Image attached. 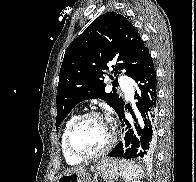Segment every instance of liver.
<instances>
[{"mask_svg":"<svg viewBox=\"0 0 196 182\" xmlns=\"http://www.w3.org/2000/svg\"><path fill=\"white\" fill-rule=\"evenodd\" d=\"M82 170H84L82 167H78V168L72 169V171H70V172H80Z\"/></svg>","mask_w":196,"mask_h":182,"instance_id":"liver-1","label":"liver"}]
</instances>
